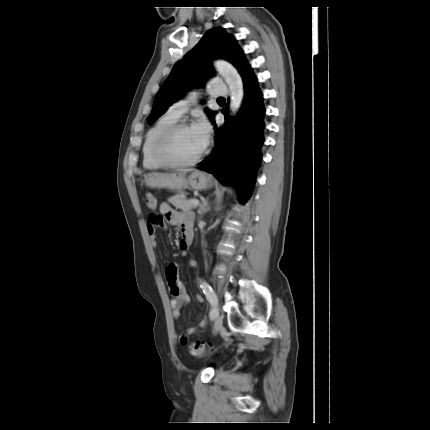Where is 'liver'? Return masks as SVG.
Listing matches in <instances>:
<instances>
[{
    "label": "liver",
    "instance_id": "1",
    "mask_svg": "<svg viewBox=\"0 0 430 430\" xmlns=\"http://www.w3.org/2000/svg\"><path fill=\"white\" fill-rule=\"evenodd\" d=\"M180 171H181L182 173L186 174V173H188V172L193 171V169H181Z\"/></svg>",
    "mask_w": 430,
    "mask_h": 430
}]
</instances>
